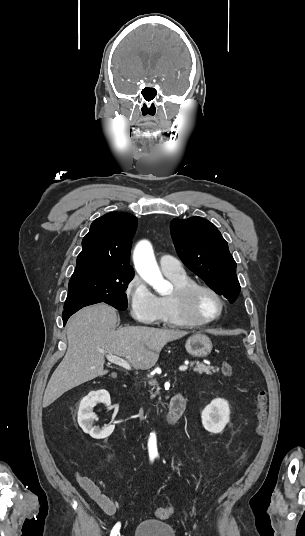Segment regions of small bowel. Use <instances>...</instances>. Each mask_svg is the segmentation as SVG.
<instances>
[{"mask_svg": "<svg viewBox=\"0 0 305 536\" xmlns=\"http://www.w3.org/2000/svg\"><path fill=\"white\" fill-rule=\"evenodd\" d=\"M76 480L81 488L87 493L89 498L97 504V506L106 515L112 516L116 513V504L105 494H103L100 488L88 477L76 472Z\"/></svg>", "mask_w": 305, "mask_h": 536, "instance_id": "obj_1", "label": "small bowel"}]
</instances>
